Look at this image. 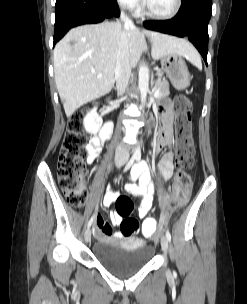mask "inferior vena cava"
Segmentation results:
<instances>
[{"label": "inferior vena cava", "instance_id": "obj_1", "mask_svg": "<svg viewBox=\"0 0 247 304\" xmlns=\"http://www.w3.org/2000/svg\"><path fill=\"white\" fill-rule=\"evenodd\" d=\"M121 20L124 22L126 27H132L133 22L125 15L121 13ZM131 75V64H130V55L128 47V38L125 32H122L121 39L118 46L117 52V61L115 69V80H116V89L118 96L123 95L125 92L128 81ZM129 153L128 150L119 145L115 152V163L118 166H121L128 162Z\"/></svg>", "mask_w": 247, "mask_h": 304}]
</instances>
